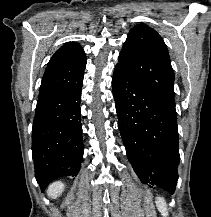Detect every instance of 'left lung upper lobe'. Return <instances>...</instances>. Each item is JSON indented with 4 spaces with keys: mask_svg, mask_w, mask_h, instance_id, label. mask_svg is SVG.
Masks as SVG:
<instances>
[{
    "mask_svg": "<svg viewBox=\"0 0 211 217\" xmlns=\"http://www.w3.org/2000/svg\"><path fill=\"white\" fill-rule=\"evenodd\" d=\"M123 70L139 79L158 97L175 106L174 71L161 36L145 24L133 27L120 52Z\"/></svg>",
    "mask_w": 211,
    "mask_h": 217,
    "instance_id": "obj_1",
    "label": "left lung upper lobe"
}]
</instances>
